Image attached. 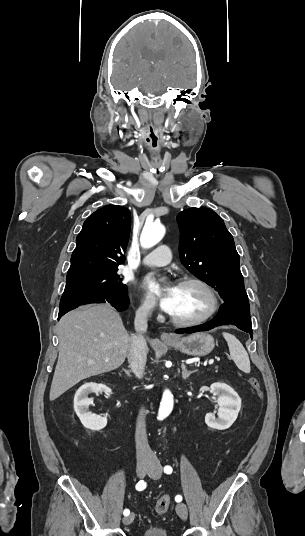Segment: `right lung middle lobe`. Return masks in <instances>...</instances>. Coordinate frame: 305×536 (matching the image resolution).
Instances as JSON below:
<instances>
[{"mask_svg":"<svg viewBox=\"0 0 305 536\" xmlns=\"http://www.w3.org/2000/svg\"><path fill=\"white\" fill-rule=\"evenodd\" d=\"M118 269L89 273L85 275L66 278L63 295L85 293L98 296H124L127 286L117 274Z\"/></svg>","mask_w":305,"mask_h":536,"instance_id":"obj_1","label":"right lung middle lobe"}]
</instances>
